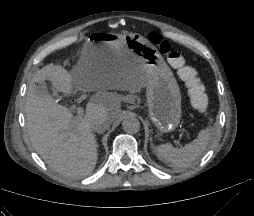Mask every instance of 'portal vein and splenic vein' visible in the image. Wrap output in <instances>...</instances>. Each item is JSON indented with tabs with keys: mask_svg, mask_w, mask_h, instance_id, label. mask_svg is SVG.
<instances>
[{
	"mask_svg": "<svg viewBox=\"0 0 254 216\" xmlns=\"http://www.w3.org/2000/svg\"><path fill=\"white\" fill-rule=\"evenodd\" d=\"M84 115V109L82 107L77 108V116L81 118Z\"/></svg>",
	"mask_w": 254,
	"mask_h": 216,
	"instance_id": "portal-vein-and-splenic-vein-1",
	"label": "portal vein and splenic vein"
}]
</instances>
